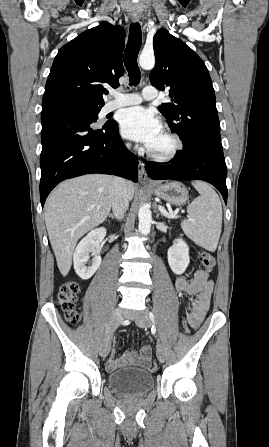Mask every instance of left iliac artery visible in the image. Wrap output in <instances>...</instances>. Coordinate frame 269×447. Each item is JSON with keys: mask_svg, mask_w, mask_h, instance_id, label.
Wrapping results in <instances>:
<instances>
[{"mask_svg": "<svg viewBox=\"0 0 269 447\" xmlns=\"http://www.w3.org/2000/svg\"><path fill=\"white\" fill-rule=\"evenodd\" d=\"M150 317H152V318L154 317L152 313H150Z\"/></svg>", "mask_w": 269, "mask_h": 447, "instance_id": "1", "label": "left iliac artery"}]
</instances>
